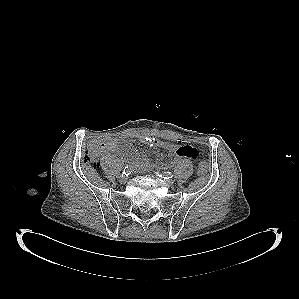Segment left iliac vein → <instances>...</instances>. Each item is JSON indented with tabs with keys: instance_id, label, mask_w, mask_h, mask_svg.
I'll return each instance as SVG.
<instances>
[{
	"instance_id": "obj_1",
	"label": "left iliac vein",
	"mask_w": 299,
	"mask_h": 299,
	"mask_svg": "<svg viewBox=\"0 0 299 299\" xmlns=\"http://www.w3.org/2000/svg\"><path fill=\"white\" fill-rule=\"evenodd\" d=\"M166 184H168L169 186H172L174 181L172 179H165Z\"/></svg>"
}]
</instances>
